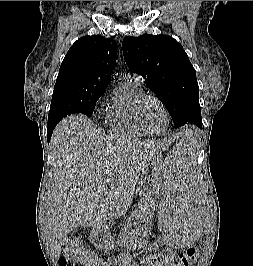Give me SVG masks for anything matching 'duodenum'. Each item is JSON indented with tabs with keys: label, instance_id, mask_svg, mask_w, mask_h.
<instances>
[{
	"label": "duodenum",
	"instance_id": "duodenum-1",
	"mask_svg": "<svg viewBox=\"0 0 253 266\" xmlns=\"http://www.w3.org/2000/svg\"><path fill=\"white\" fill-rule=\"evenodd\" d=\"M94 238L96 239L97 237H94ZM101 238H102V235L98 233V239H101Z\"/></svg>",
	"mask_w": 253,
	"mask_h": 266
}]
</instances>
